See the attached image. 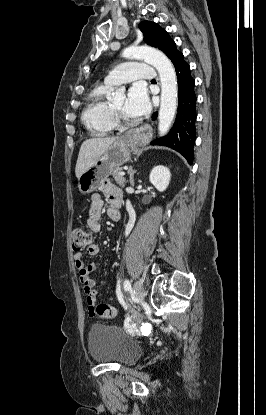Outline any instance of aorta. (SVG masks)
I'll list each match as a JSON object with an SVG mask.
<instances>
[{
	"label": "aorta",
	"mask_w": 266,
	"mask_h": 415,
	"mask_svg": "<svg viewBox=\"0 0 266 415\" xmlns=\"http://www.w3.org/2000/svg\"><path fill=\"white\" fill-rule=\"evenodd\" d=\"M123 57L144 60L157 69L161 82L158 130L161 136L165 135L171 127L177 110V77L171 61L162 52L147 46L129 47L124 50ZM124 91V88H120L113 96L121 95Z\"/></svg>",
	"instance_id": "1"
}]
</instances>
